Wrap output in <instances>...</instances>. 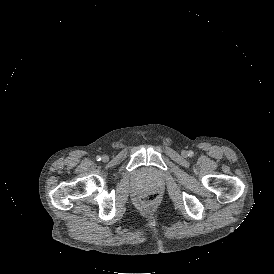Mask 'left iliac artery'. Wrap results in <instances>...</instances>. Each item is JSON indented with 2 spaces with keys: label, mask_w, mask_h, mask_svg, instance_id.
Masks as SVG:
<instances>
[{
  "label": "left iliac artery",
  "mask_w": 274,
  "mask_h": 274,
  "mask_svg": "<svg viewBox=\"0 0 274 274\" xmlns=\"http://www.w3.org/2000/svg\"><path fill=\"white\" fill-rule=\"evenodd\" d=\"M193 155H194V152L190 150V151L188 152V156L193 157Z\"/></svg>",
  "instance_id": "44dca946"
}]
</instances>
